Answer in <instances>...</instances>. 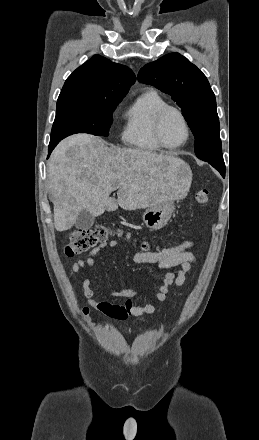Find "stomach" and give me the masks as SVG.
I'll return each mask as SVG.
<instances>
[{
    "label": "stomach",
    "mask_w": 259,
    "mask_h": 440,
    "mask_svg": "<svg viewBox=\"0 0 259 440\" xmlns=\"http://www.w3.org/2000/svg\"><path fill=\"white\" fill-rule=\"evenodd\" d=\"M175 207L172 201L150 207L143 215L142 219L147 228L159 230L167 225L174 213Z\"/></svg>",
    "instance_id": "1"
}]
</instances>
